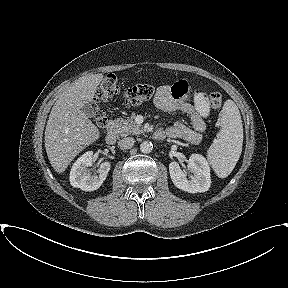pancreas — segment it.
<instances>
[{"instance_id":"pancreas-1","label":"pancreas","mask_w":288,"mask_h":288,"mask_svg":"<svg viewBox=\"0 0 288 288\" xmlns=\"http://www.w3.org/2000/svg\"><path fill=\"white\" fill-rule=\"evenodd\" d=\"M115 132L121 137L128 135H137L143 132L140 125L136 124L135 121L130 119L118 118L114 120Z\"/></svg>"}]
</instances>
